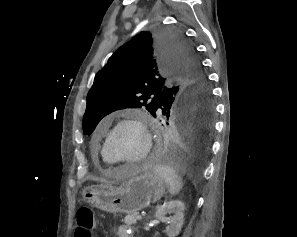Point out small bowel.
<instances>
[{
  "mask_svg": "<svg viewBox=\"0 0 297 237\" xmlns=\"http://www.w3.org/2000/svg\"><path fill=\"white\" fill-rule=\"evenodd\" d=\"M118 237H131L130 230L126 225H120L117 229Z\"/></svg>",
  "mask_w": 297,
  "mask_h": 237,
  "instance_id": "1",
  "label": "small bowel"
}]
</instances>
